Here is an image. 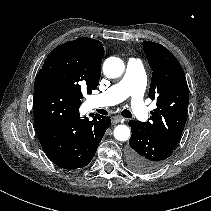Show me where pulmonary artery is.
I'll return each instance as SVG.
<instances>
[{
	"label": "pulmonary artery",
	"instance_id": "e3ab8cb5",
	"mask_svg": "<svg viewBox=\"0 0 211 211\" xmlns=\"http://www.w3.org/2000/svg\"><path fill=\"white\" fill-rule=\"evenodd\" d=\"M145 86L146 79L143 64L138 59L131 58L127 62L122 79L105 92L92 96L89 100V106L92 108L111 106L131 98L134 115L139 120L145 121L148 118V111L143 102Z\"/></svg>",
	"mask_w": 211,
	"mask_h": 211
}]
</instances>
